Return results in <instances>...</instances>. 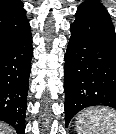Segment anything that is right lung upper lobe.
I'll return each mask as SVG.
<instances>
[{
  "label": "right lung upper lobe",
  "instance_id": "obj_1",
  "mask_svg": "<svg viewBox=\"0 0 116 134\" xmlns=\"http://www.w3.org/2000/svg\"><path fill=\"white\" fill-rule=\"evenodd\" d=\"M30 29L26 11L20 0L0 1V49Z\"/></svg>",
  "mask_w": 116,
  "mask_h": 134
}]
</instances>
